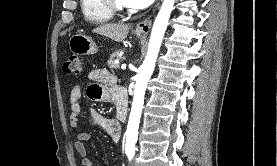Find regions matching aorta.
<instances>
[{
	"instance_id": "762f6f07",
	"label": "aorta",
	"mask_w": 277,
	"mask_h": 166,
	"mask_svg": "<svg viewBox=\"0 0 277 166\" xmlns=\"http://www.w3.org/2000/svg\"><path fill=\"white\" fill-rule=\"evenodd\" d=\"M174 2L175 0H163L160 11L153 24L146 58L136 76L134 98L126 131V150H135L147 83L154 71Z\"/></svg>"
}]
</instances>
